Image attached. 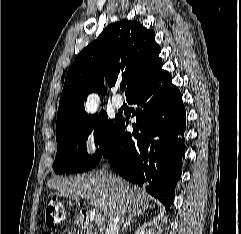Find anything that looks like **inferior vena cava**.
<instances>
[{
    "label": "inferior vena cava",
    "instance_id": "1",
    "mask_svg": "<svg viewBox=\"0 0 241 234\" xmlns=\"http://www.w3.org/2000/svg\"><path fill=\"white\" fill-rule=\"evenodd\" d=\"M124 213L125 210L123 207H118L115 210V212L109 217L105 234H119Z\"/></svg>",
    "mask_w": 241,
    "mask_h": 234
}]
</instances>
